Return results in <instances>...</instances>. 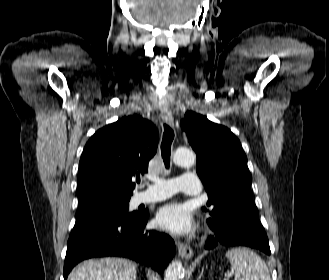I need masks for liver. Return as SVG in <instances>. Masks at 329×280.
<instances>
[{"mask_svg":"<svg viewBox=\"0 0 329 280\" xmlns=\"http://www.w3.org/2000/svg\"><path fill=\"white\" fill-rule=\"evenodd\" d=\"M137 265L123 258L87 260L78 265L67 280H135Z\"/></svg>","mask_w":329,"mask_h":280,"instance_id":"1","label":"liver"}]
</instances>
